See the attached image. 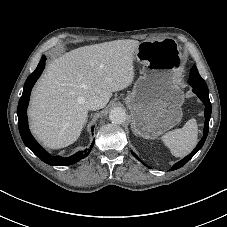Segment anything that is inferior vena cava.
Here are the masks:
<instances>
[{
	"mask_svg": "<svg viewBox=\"0 0 227 227\" xmlns=\"http://www.w3.org/2000/svg\"><path fill=\"white\" fill-rule=\"evenodd\" d=\"M85 105L88 108V110H97L102 108L104 103L100 97L92 96L86 101Z\"/></svg>",
	"mask_w": 227,
	"mask_h": 227,
	"instance_id": "obj_1",
	"label": "inferior vena cava"
}]
</instances>
